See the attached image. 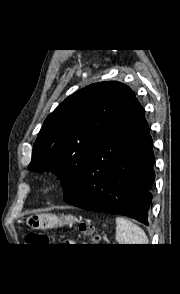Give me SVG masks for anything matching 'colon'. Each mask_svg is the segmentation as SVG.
I'll list each match as a JSON object with an SVG mask.
<instances>
[{
  "mask_svg": "<svg viewBox=\"0 0 180 294\" xmlns=\"http://www.w3.org/2000/svg\"><path fill=\"white\" fill-rule=\"evenodd\" d=\"M79 230L82 235L86 238H89L94 245H99L101 242L100 235L95 231L92 224L89 222H82L79 225ZM27 244L34 245V244H43L48 241L47 236L42 232H31L26 235L25 238Z\"/></svg>",
  "mask_w": 180,
  "mask_h": 294,
  "instance_id": "colon-1",
  "label": "colon"
}]
</instances>
